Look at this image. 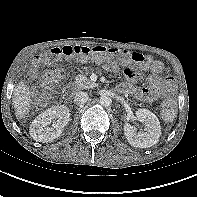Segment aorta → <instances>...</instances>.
<instances>
[{
  "label": "aorta",
  "mask_w": 197,
  "mask_h": 197,
  "mask_svg": "<svg viewBox=\"0 0 197 197\" xmlns=\"http://www.w3.org/2000/svg\"><path fill=\"white\" fill-rule=\"evenodd\" d=\"M111 102H112V99H111V97L108 96V95H102V96L100 97V104H101L102 106H104V107L110 106Z\"/></svg>",
  "instance_id": "1"
}]
</instances>
